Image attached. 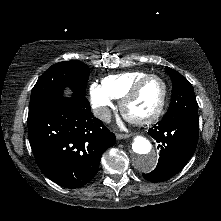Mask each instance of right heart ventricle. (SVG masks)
Instances as JSON below:
<instances>
[{
  "label": "right heart ventricle",
  "instance_id": "e07e8e85",
  "mask_svg": "<svg viewBox=\"0 0 221 221\" xmlns=\"http://www.w3.org/2000/svg\"><path fill=\"white\" fill-rule=\"evenodd\" d=\"M145 71H130L108 75L102 80V86L114 99H121L141 78L148 75Z\"/></svg>",
  "mask_w": 221,
  "mask_h": 221
}]
</instances>
